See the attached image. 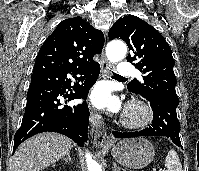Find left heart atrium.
Returning <instances> with one entry per match:
<instances>
[{
  "label": "left heart atrium",
  "instance_id": "left-heart-atrium-1",
  "mask_svg": "<svg viewBox=\"0 0 199 171\" xmlns=\"http://www.w3.org/2000/svg\"><path fill=\"white\" fill-rule=\"evenodd\" d=\"M91 103L98 108H109L117 109V99L111 95L110 90L107 86H97L91 93Z\"/></svg>",
  "mask_w": 199,
  "mask_h": 171
}]
</instances>
